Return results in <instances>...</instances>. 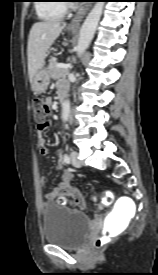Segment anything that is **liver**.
<instances>
[{"mask_svg":"<svg viewBox=\"0 0 158 275\" xmlns=\"http://www.w3.org/2000/svg\"><path fill=\"white\" fill-rule=\"evenodd\" d=\"M65 26V23L53 20L40 21L33 24L29 33L27 46L30 82H32L36 72L43 66L47 51Z\"/></svg>","mask_w":158,"mask_h":275,"instance_id":"liver-1","label":"liver"}]
</instances>
